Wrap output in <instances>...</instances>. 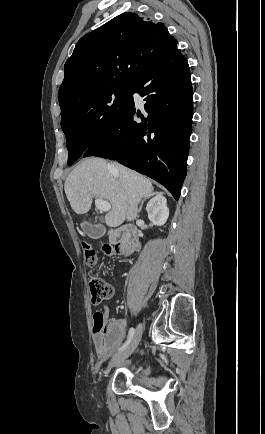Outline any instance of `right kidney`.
<instances>
[{
	"mask_svg": "<svg viewBox=\"0 0 265 434\" xmlns=\"http://www.w3.org/2000/svg\"><path fill=\"white\" fill-rule=\"evenodd\" d=\"M146 212L150 222L155 226H164L169 218V208H167V200L163 196V192H157L155 198L149 200L146 206Z\"/></svg>",
	"mask_w": 265,
	"mask_h": 434,
	"instance_id": "ca27d5eb",
	"label": "right kidney"
}]
</instances>
